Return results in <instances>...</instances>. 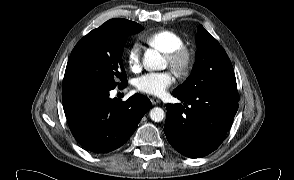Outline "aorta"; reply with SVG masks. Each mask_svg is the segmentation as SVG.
<instances>
[{
	"mask_svg": "<svg viewBox=\"0 0 294 180\" xmlns=\"http://www.w3.org/2000/svg\"><path fill=\"white\" fill-rule=\"evenodd\" d=\"M143 64L150 70H164L167 67L166 60L154 49H148L143 58ZM165 117V112L160 107H154L150 110V118L155 122H161Z\"/></svg>",
	"mask_w": 294,
	"mask_h": 180,
	"instance_id": "1",
	"label": "aorta"
}]
</instances>
